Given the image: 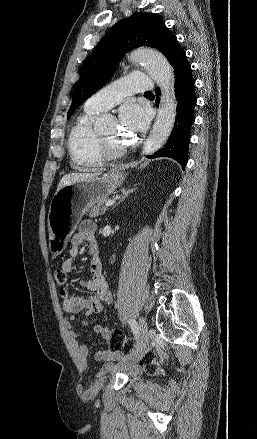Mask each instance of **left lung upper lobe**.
<instances>
[{
	"instance_id": "1",
	"label": "left lung upper lobe",
	"mask_w": 257,
	"mask_h": 439,
	"mask_svg": "<svg viewBox=\"0 0 257 439\" xmlns=\"http://www.w3.org/2000/svg\"><path fill=\"white\" fill-rule=\"evenodd\" d=\"M176 36L154 13H135L114 25L85 60L73 92L67 119L113 76L119 61L130 50L151 46L167 58Z\"/></svg>"
}]
</instances>
